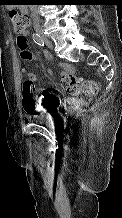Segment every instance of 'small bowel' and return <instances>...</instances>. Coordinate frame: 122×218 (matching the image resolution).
Masks as SVG:
<instances>
[{"label":"small bowel","instance_id":"c3829d8e","mask_svg":"<svg viewBox=\"0 0 122 218\" xmlns=\"http://www.w3.org/2000/svg\"><path fill=\"white\" fill-rule=\"evenodd\" d=\"M29 35H30L29 31H24L18 36V38H24L26 40V42H27V45H28ZM30 59H33V60H36V61L38 60V58L35 55H32V54H31ZM60 68H61V78L62 79H65L67 77H71L73 75V68L69 64L61 63ZM46 74L51 75V71L46 70ZM29 77L33 82L36 81V76H35L34 73H29ZM95 86L97 87L96 84H95ZM52 100L55 101V98H54L53 94L51 92L47 91V90H42L41 91V97L39 98V100L37 102L35 101L36 109H35L34 114L46 113L47 110H48L49 104L51 103ZM69 102L72 103V104H76L77 100H70ZM24 104H25V98H23V105Z\"/></svg>","mask_w":122,"mask_h":218}]
</instances>
